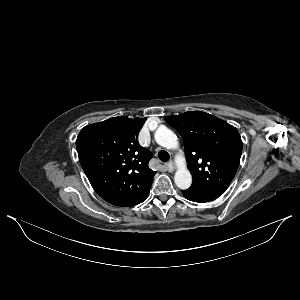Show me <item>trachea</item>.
I'll use <instances>...</instances> for the list:
<instances>
[{
  "mask_svg": "<svg viewBox=\"0 0 300 300\" xmlns=\"http://www.w3.org/2000/svg\"><path fill=\"white\" fill-rule=\"evenodd\" d=\"M158 158L162 162H167L170 159V155L166 151L161 150V151L158 152Z\"/></svg>",
  "mask_w": 300,
  "mask_h": 300,
  "instance_id": "trachea-1",
  "label": "trachea"
}]
</instances>
